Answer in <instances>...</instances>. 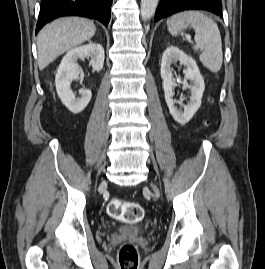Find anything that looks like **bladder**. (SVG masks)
<instances>
[{
  "label": "bladder",
  "mask_w": 265,
  "mask_h": 269,
  "mask_svg": "<svg viewBox=\"0 0 265 269\" xmlns=\"http://www.w3.org/2000/svg\"><path fill=\"white\" fill-rule=\"evenodd\" d=\"M123 232L128 235H142L146 232V229L144 227H131L128 226L123 229Z\"/></svg>",
  "instance_id": "31cf9c89"
}]
</instances>
